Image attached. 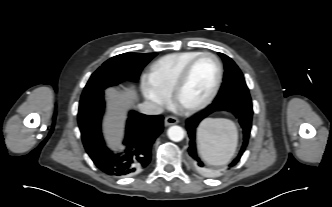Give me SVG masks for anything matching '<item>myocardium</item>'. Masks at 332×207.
Wrapping results in <instances>:
<instances>
[{
    "instance_id": "f54148a6",
    "label": "myocardium",
    "mask_w": 332,
    "mask_h": 207,
    "mask_svg": "<svg viewBox=\"0 0 332 207\" xmlns=\"http://www.w3.org/2000/svg\"><path fill=\"white\" fill-rule=\"evenodd\" d=\"M205 56H209L211 58L214 59L216 65H217V77H216V81L215 84L211 90V92L209 93V95L202 100L201 102L194 104V105H190V106H186V105H182L180 102V95L181 92L184 88V86L186 85L189 75L191 73V70L193 68V66L195 65V63L201 59L202 57ZM222 79H223V66L222 63L220 61V59L213 53L211 52H201L198 55H196L195 57H193L182 69V71L180 72L174 87L172 89V100L174 105L181 111L185 112V113H195L198 112L204 108H206L207 106H209L212 101L215 99V97L217 96L221 83H222Z\"/></svg>"
}]
</instances>
